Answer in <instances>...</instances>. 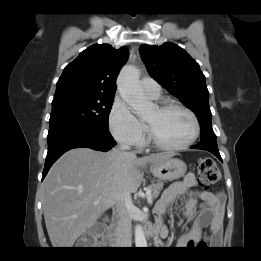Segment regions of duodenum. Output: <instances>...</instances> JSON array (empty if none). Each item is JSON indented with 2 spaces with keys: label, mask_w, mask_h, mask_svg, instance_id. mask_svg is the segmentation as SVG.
<instances>
[{
  "label": "duodenum",
  "mask_w": 261,
  "mask_h": 261,
  "mask_svg": "<svg viewBox=\"0 0 261 261\" xmlns=\"http://www.w3.org/2000/svg\"><path fill=\"white\" fill-rule=\"evenodd\" d=\"M159 232H162L158 227H150L148 229H146V235L149 238H154L156 237ZM104 234V244L107 246H112V247H117L120 246L119 241H120V236L117 232V228L115 225H112L110 227V230L107 233H104V231H102V236ZM101 236V237H102Z\"/></svg>",
  "instance_id": "1"
}]
</instances>
